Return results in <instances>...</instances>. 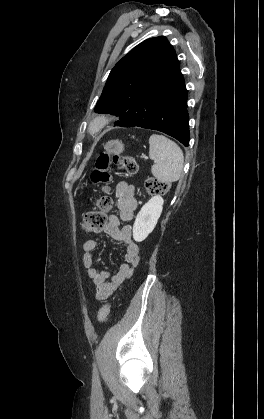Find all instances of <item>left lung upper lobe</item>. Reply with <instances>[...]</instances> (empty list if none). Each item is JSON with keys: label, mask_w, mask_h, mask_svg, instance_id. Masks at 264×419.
Segmentation results:
<instances>
[{"label": "left lung upper lobe", "mask_w": 264, "mask_h": 419, "mask_svg": "<svg viewBox=\"0 0 264 419\" xmlns=\"http://www.w3.org/2000/svg\"><path fill=\"white\" fill-rule=\"evenodd\" d=\"M179 72L172 45L163 36L143 41L111 70L95 106L97 113L124 115L144 95Z\"/></svg>", "instance_id": "left-lung-upper-lobe-1"}]
</instances>
